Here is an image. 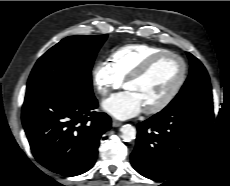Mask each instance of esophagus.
<instances>
[{"label": "esophagus", "mask_w": 230, "mask_h": 186, "mask_svg": "<svg viewBox=\"0 0 230 186\" xmlns=\"http://www.w3.org/2000/svg\"><path fill=\"white\" fill-rule=\"evenodd\" d=\"M122 125V123L120 122V121H118V120H112V126L113 127H119V126H121Z\"/></svg>", "instance_id": "esophagus-1"}]
</instances>
